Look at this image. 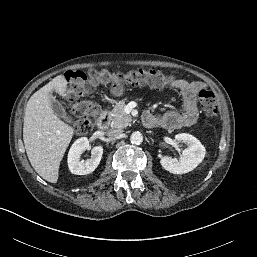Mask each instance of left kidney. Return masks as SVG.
I'll use <instances>...</instances> for the list:
<instances>
[{
  "label": "left kidney",
  "instance_id": "1",
  "mask_svg": "<svg viewBox=\"0 0 257 257\" xmlns=\"http://www.w3.org/2000/svg\"><path fill=\"white\" fill-rule=\"evenodd\" d=\"M175 139L184 143L187 148L183 150L179 159L163 156L161 166L173 174H185L195 169L205 157V148L193 135L187 133L177 134Z\"/></svg>",
  "mask_w": 257,
  "mask_h": 257
}]
</instances>
